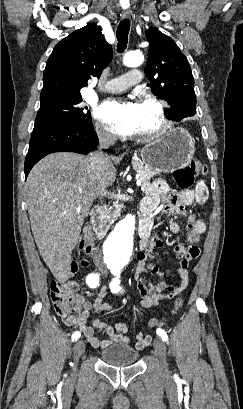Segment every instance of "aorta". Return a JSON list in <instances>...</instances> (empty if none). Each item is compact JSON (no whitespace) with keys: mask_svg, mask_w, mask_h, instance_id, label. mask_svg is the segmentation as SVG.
Instances as JSON below:
<instances>
[{"mask_svg":"<svg viewBox=\"0 0 243 409\" xmlns=\"http://www.w3.org/2000/svg\"><path fill=\"white\" fill-rule=\"evenodd\" d=\"M144 61L139 51L128 52L123 59L127 67H138ZM135 232V216L128 214L118 222L105 242V248L109 256L117 258L129 257L132 253L133 236Z\"/></svg>","mask_w":243,"mask_h":409,"instance_id":"aorta-1","label":"aorta"}]
</instances>
